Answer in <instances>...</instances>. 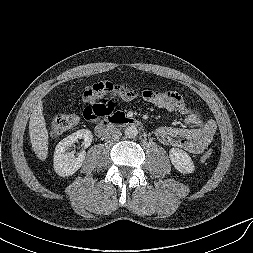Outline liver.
Here are the masks:
<instances>
[{"label": "liver", "instance_id": "1", "mask_svg": "<svg viewBox=\"0 0 253 253\" xmlns=\"http://www.w3.org/2000/svg\"><path fill=\"white\" fill-rule=\"evenodd\" d=\"M29 135L36 156L44 161L48 156L49 137L41 101L34 107L30 116Z\"/></svg>", "mask_w": 253, "mask_h": 253}]
</instances>
